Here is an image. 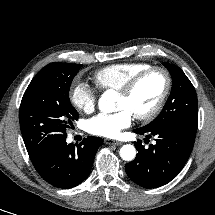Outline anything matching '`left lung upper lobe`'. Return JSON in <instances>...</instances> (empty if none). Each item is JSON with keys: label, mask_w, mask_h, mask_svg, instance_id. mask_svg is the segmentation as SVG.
Segmentation results:
<instances>
[{"label": "left lung upper lobe", "mask_w": 215, "mask_h": 215, "mask_svg": "<svg viewBox=\"0 0 215 215\" xmlns=\"http://www.w3.org/2000/svg\"><path fill=\"white\" fill-rule=\"evenodd\" d=\"M163 65L168 69L172 77L171 94L162 112L156 119L142 128L175 125L196 132L198 124L196 91L179 67L168 63H163Z\"/></svg>", "instance_id": "1"}]
</instances>
